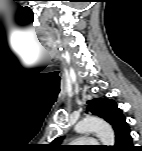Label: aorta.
Returning <instances> with one entry per match:
<instances>
[{"mask_svg":"<svg viewBox=\"0 0 142 151\" xmlns=\"http://www.w3.org/2000/svg\"><path fill=\"white\" fill-rule=\"evenodd\" d=\"M74 129L77 133L80 134L95 132L102 145L114 146L115 144V136L112 127L99 118L87 117L79 121L75 125Z\"/></svg>","mask_w":142,"mask_h":151,"instance_id":"aorta-1","label":"aorta"}]
</instances>
